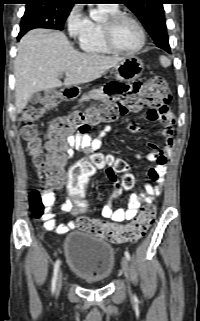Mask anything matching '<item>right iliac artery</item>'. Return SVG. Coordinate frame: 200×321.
Returning <instances> with one entry per match:
<instances>
[{"instance_id": "1", "label": "right iliac artery", "mask_w": 200, "mask_h": 321, "mask_svg": "<svg viewBox=\"0 0 200 321\" xmlns=\"http://www.w3.org/2000/svg\"><path fill=\"white\" fill-rule=\"evenodd\" d=\"M59 267H60V260L58 259L54 265V272H53L52 283H51L52 294L55 292V289H56V282H57Z\"/></svg>"}]
</instances>
